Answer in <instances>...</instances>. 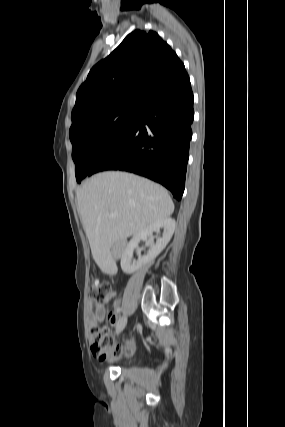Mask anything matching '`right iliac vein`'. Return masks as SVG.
Wrapping results in <instances>:
<instances>
[{
  "label": "right iliac vein",
  "mask_w": 285,
  "mask_h": 427,
  "mask_svg": "<svg viewBox=\"0 0 285 427\" xmlns=\"http://www.w3.org/2000/svg\"><path fill=\"white\" fill-rule=\"evenodd\" d=\"M127 324V318L126 317H122L120 318L117 326H116V333H120L126 326Z\"/></svg>",
  "instance_id": "right-iliac-vein-1"
}]
</instances>
